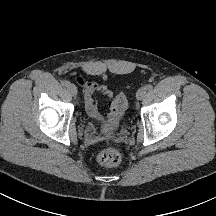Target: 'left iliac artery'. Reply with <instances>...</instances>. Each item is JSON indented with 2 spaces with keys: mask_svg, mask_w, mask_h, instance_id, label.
<instances>
[{
  "mask_svg": "<svg viewBox=\"0 0 216 216\" xmlns=\"http://www.w3.org/2000/svg\"><path fill=\"white\" fill-rule=\"evenodd\" d=\"M152 88H153V86H152L151 84H148V85L146 86V89H147V90H152Z\"/></svg>",
  "mask_w": 216,
  "mask_h": 216,
  "instance_id": "44dca946",
  "label": "left iliac artery"
}]
</instances>
